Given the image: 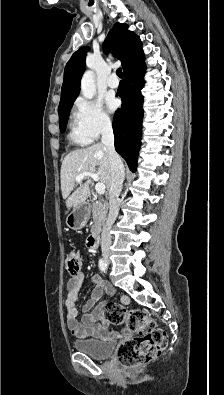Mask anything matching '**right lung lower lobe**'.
I'll use <instances>...</instances> for the list:
<instances>
[{"mask_svg": "<svg viewBox=\"0 0 224 395\" xmlns=\"http://www.w3.org/2000/svg\"><path fill=\"white\" fill-rule=\"evenodd\" d=\"M144 54L124 70V81L118 87L117 95L122 106L114 115L113 131L115 149L126 160L132 171L136 170L138 151L141 144L143 118Z\"/></svg>", "mask_w": 224, "mask_h": 395, "instance_id": "1", "label": "right lung lower lobe"}]
</instances>
